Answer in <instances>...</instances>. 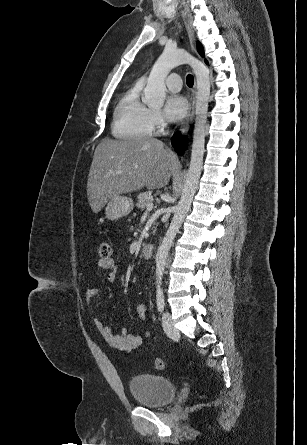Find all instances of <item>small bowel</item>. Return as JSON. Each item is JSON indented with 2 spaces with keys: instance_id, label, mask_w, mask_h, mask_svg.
Listing matches in <instances>:
<instances>
[{
  "instance_id": "c3829d8e",
  "label": "small bowel",
  "mask_w": 307,
  "mask_h": 445,
  "mask_svg": "<svg viewBox=\"0 0 307 445\" xmlns=\"http://www.w3.org/2000/svg\"><path fill=\"white\" fill-rule=\"evenodd\" d=\"M97 265L108 272L109 279H114L117 273L118 265L113 258L99 259ZM98 295L97 288H89L86 291V301L89 305H92ZM146 306L139 304L137 306V313L141 319L146 317ZM95 325L105 341L116 349L132 352L139 349L148 336V333H128L126 330H122L120 333L115 334L112 329L106 326L101 320L96 319Z\"/></svg>"
}]
</instances>
